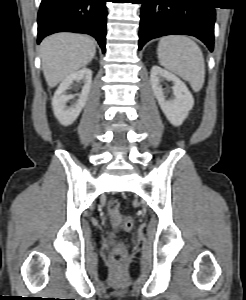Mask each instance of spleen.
Wrapping results in <instances>:
<instances>
[{
  "instance_id": "spleen-1",
  "label": "spleen",
  "mask_w": 246,
  "mask_h": 300,
  "mask_svg": "<svg viewBox=\"0 0 246 300\" xmlns=\"http://www.w3.org/2000/svg\"><path fill=\"white\" fill-rule=\"evenodd\" d=\"M160 64L188 81L195 92L202 89L205 63L200 47L184 35H170L160 39L157 48Z\"/></svg>"
}]
</instances>
